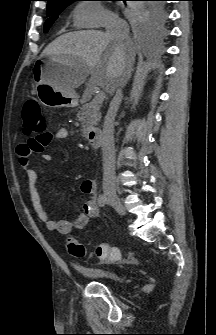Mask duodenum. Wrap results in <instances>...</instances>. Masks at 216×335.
I'll return each instance as SVG.
<instances>
[{"label": "duodenum", "mask_w": 216, "mask_h": 335, "mask_svg": "<svg viewBox=\"0 0 216 335\" xmlns=\"http://www.w3.org/2000/svg\"><path fill=\"white\" fill-rule=\"evenodd\" d=\"M87 139L94 148H99L102 144V132L99 128H92L88 134Z\"/></svg>", "instance_id": "410a0bca"}]
</instances>
